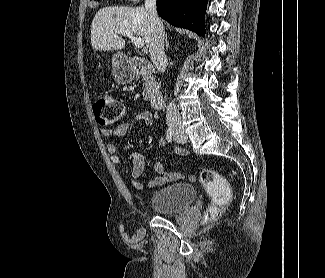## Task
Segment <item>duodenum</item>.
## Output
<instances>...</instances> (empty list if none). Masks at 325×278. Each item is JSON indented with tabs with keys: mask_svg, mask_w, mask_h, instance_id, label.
<instances>
[{
	"mask_svg": "<svg viewBox=\"0 0 325 278\" xmlns=\"http://www.w3.org/2000/svg\"><path fill=\"white\" fill-rule=\"evenodd\" d=\"M132 66L135 72L139 75H150L153 73L152 65L143 58H132ZM163 96L161 94L154 93L149 98V103L151 108L157 110L160 109L163 105Z\"/></svg>",
	"mask_w": 325,
	"mask_h": 278,
	"instance_id": "duodenum-1",
	"label": "duodenum"
}]
</instances>
